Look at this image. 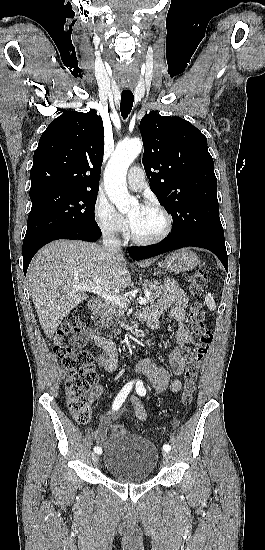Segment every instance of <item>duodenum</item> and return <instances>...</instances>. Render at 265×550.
I'll list each match as a JSON object with an SVG mask.
<instances>
[{
    "instance_id": "1",
    "label": "duodenum",
    "mask_w": 265,
    "mask_h": 550,
    "mask_svg": "<svg viewBox=\"0 0 265 550\" xmlns=\"http://www.w3.org/2000/svg\"><path fill=\"white\" fill-rule=\"evenodd\" d=\"M101 301L99 299H92L90 300L88 304V308L90 311L95 312L98 311L101 307Z\"/></svg>"
}]
</instances>
